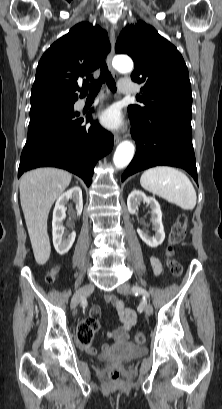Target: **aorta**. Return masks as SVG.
Returning <instances> with one entry per match:
<instances>
[{
	"instance_id": "762f6f07",
	"label": "aorta",
	"mask_w": 222,
	"mask_h": 409,
	"mask_svg": "<svg viewBox=\"0 0 222 409\" xmlns=\"http://www.w3.org/2000/svg\"><path fill=\"white\" fill-rule=\"evenodd\" d=\"M113 67L121 72L128 73L133 69V62L127 56H116L113 59ZM135 153V147L130 141L121 142L113 156V163L116 168L123 169L131 162Z\"/></svg>"
}]
</instances>
